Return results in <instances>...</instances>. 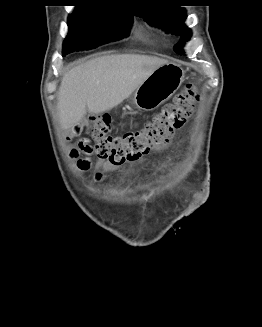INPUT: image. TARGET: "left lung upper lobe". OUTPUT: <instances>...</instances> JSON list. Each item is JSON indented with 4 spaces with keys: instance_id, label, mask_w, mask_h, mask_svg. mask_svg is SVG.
Returning <instances> with one entry per match:
<instances>
[{
    "instance_id": "1",
    "label": "left lung upper lobe",
    "mask_w": 262,
    "mask_h": 327,
    "mask_svg": "<svg viewBox=\"0 0 262 327\" xmlns=\"http://www.w3.org/2000/svg\"><path fill=\"white\" fill-rule=\"evenodd\" d=\"M133 13L151 25L158 26L166 32L180 35L181 39L174 50L177 54H184L183 44L190 39L191 31L185 26L186 12L183 8L167 5L150 4L147 6H133Z\"/></svg>"
}]
</instances>
